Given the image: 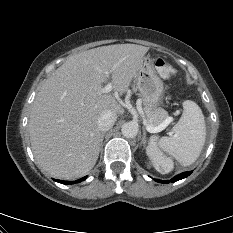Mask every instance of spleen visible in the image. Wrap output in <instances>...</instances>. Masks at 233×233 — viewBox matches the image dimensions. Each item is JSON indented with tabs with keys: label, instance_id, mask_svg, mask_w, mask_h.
I'll return each mask as SVG.
<instances>
[{
	"label": "spleen",
	"instance_id": "1",
	"mask_svg": "<svg viewBox=\"0 0 233 233\" xmlns=\"http://www.w3.org/2000/svg\"><path fill=\"white\" fill-rule=\"evenodd\" d=\"M173 135L161 137L158 142L151 139L147 154L152 159L156 169L169 173L173 168L171 159L163 152L174 157L181 165L189 166L199 157L206 138V125L200 107L191 100L183 102V113L172 128Z\"/></svg>",
	"mask_w": 233,
	"mask_h": 233
}]
</instances>
